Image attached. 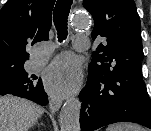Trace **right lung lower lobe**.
I'll use <instances>...</instances> for the list:
<instances>
[{
    "label": "right lung lower lobe",
    "mask_w": 151,
    "mask_h": 131,
    "mask_svg": "<svg viewBox=\"0 0 151 131\" xmlns=\"http://www.w3.org/2000/svg\"><path fill=\"white\" fill-rule=\"evenodd\" d=\"M37 77L29 76L22 81H19L12 85H4L0 81V95L12 94L15 96L29 99L40 105H47V94L43 89L41 79L35 81Z\"/></svg>",
    "instance_id": "obj_1"
}]
</instances>
